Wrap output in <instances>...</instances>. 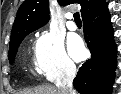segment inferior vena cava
I'll use <instances>...</instances> for the list:
<instances>
[{
	"mask_svg": "<svg viewBox=\"0 0 121 94\" xmlns=\"http://www.w3.org/2000/svg\"><path fill=\"white\" fill-rule=\"evenodd\" d=\"M64 74L65 76L57 88L61 94H75L72 83L76 76V66L72 62H67L64 67Z\"/></svg>",
	"mask_w": 121,
	"mask_h": 94,
	"instance_id": "602c4592",
	"label": "inferior vena cava"
}]
</instances>
